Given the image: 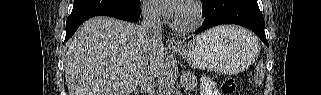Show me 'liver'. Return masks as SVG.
Masks as SVG:
<instances>
[{"mask_svg": "<svg viewBox=\"0 0 321 95\" xmlns=\"http://www.w3.org/2000/svg\"><path fill=\"white\" fill-rule=\"evenodd\" d=\"M166 53L163 44L156 48L147 44L135 24L108 17L91 18L65 43L69 95H130L145 68L159 74Z\"/></svg>", "mask_w": 321, "mask_h": 95, "instance_id": "6515ba94", "label": "liver"}]
</instances>
